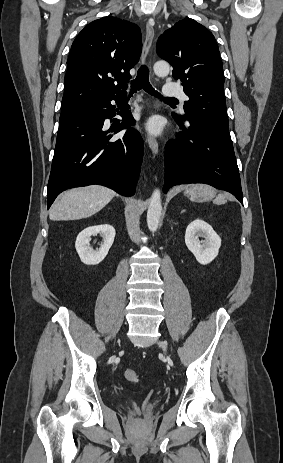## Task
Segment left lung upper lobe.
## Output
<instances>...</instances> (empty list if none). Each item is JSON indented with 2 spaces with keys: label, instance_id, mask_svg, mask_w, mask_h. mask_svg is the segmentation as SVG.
<instances>
[{
  "label": "left lung upper lobe",
  "instance_id": "obj_1",
  "mask_svg": "<svg viewBox=\"0 0 283 463\" xmlns=\"http://www.w3.org/2000/svg\"><path fill=\"white\" fill-rule=\"evenodd\" d=\"M157 54L183 81L186 118L207 119L229 127L224 97L223 65L212 33L191 18L177 22L157 42Z\"/></svg>",
  "mask_w": 283,
  "mask_h": 463
}]
</instances>
